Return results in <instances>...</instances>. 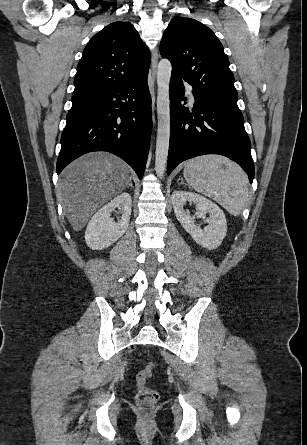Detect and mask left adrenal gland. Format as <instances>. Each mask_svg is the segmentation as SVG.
Masks as SVG:
<instances>
[{"label": "left adrenal gland", "mask_w": 307, "mask_h": 445, "mask_svg": "<svg viewBox=\"0 0 307 445\" xmlns=\"http://www.w3.org/2000/svg\"><path fill=\"white\" fill-rule=\"evenodd\" d=\"M179 180H181L180 184H186V182H184L183 178H179Z\"/></svg>", "instance_id": "left-adrenal-gland-1"}]
</instances>
